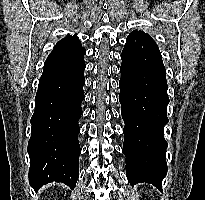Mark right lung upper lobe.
I'll return each instance as SVG.
<instances>
[{"label":"right lung upper lobe","mask_w":205,"mask_h":200,"mask_svg":"<svg viewBox=\"0 0 205 200\" xmlns=\"http://www.w3.org/2000/svg\"><path fill=\"white\" fill-rule=\"evenodd\" d=\"M81 48V43L77 37V35L71 36L67 35L62 40L58 41L54 47V50H62V49H78Z\"/></svg>","instance_id":"cb5924a9"}]
</instances>
